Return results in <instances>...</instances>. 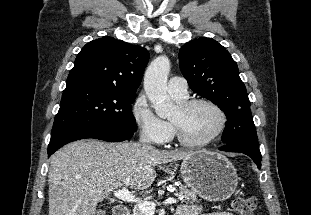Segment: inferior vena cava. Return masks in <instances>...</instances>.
<instances>
[{"label":"inferior vena cava","mask_w":311,"mask_h":215,"mask_svg":"<svg viewBox=\"0 0 311 215\" xmlns=\"http://www.w3.org/2000/svg\"><path fill=\"white\" fill-rule=\"evenodd\" d=\"M139 143L142 145V146H147L149 147V143H150V138H149V135L148 133L143 130L141 133H140V138H139Z\"/></svg>","instance_id":"obj_1"}]
</instances>
